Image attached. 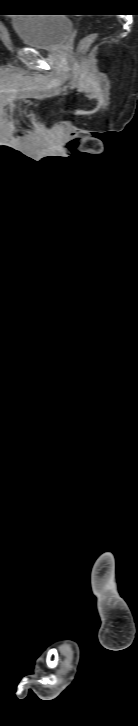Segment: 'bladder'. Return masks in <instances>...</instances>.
Segmentation results:
<instances>
[{
	"mask_svg": "<svg viewBox=\"0 0 138 726\" xmlns=\"http://www.w3.org/2000/svg\"><path fill=\"white\" fill-rule=\"evenodd\" d=\"M11 23L21 43L37 49L58 48L72 30L71 20L63 14H20Z\"/></svg>",
	"mask_w": 138,
	"mask_h": 726,
	"instance_id": "31cf9c89",
	"label": "bladder"
}]
</instances>
